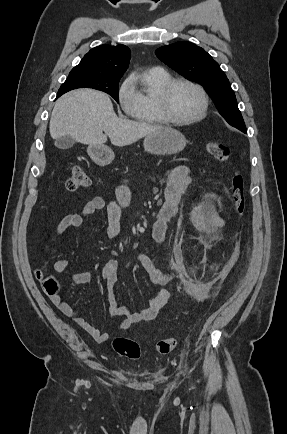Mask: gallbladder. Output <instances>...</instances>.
<instances>
[{"mask_svg":"<svg viewBox=\"0 0 287 434\" xmlns=\"http://www.w3.org/2000/svg\"><path fill=\"white\" fill-rule=\"evenodd\" d=\"M75 139L70 136H61L55 139L54 145L59 149H69L75 144Z\"/></svg>","mask_w":287,"mask_h":434,"instance_id":"bac80fb5","label":"gallbladder"}]
</instances>
